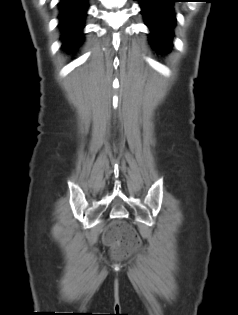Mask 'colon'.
Instances as JSON below:
<instances>
[{
  "mask_svg": "<svg viewBox=\"0 0 238 315\" xmlns=\"http://www.w3.org/2000/svg\"><path fill=\"white\" fill-rule=\"evenodd\" d=\"M105 240L117 246L122 253L130 252L139 244L136 231L123 221H115L109 226Z\"/></svg>",
  "mask_w": 238,
  "mask_h": 315,
  "instance_id": "1",
  "label": "colon"
}]
</instances>
